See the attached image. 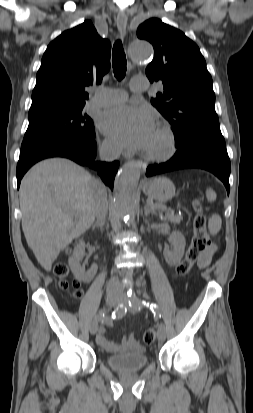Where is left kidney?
<instances>
[{"instance_id":"5707ae66","label":"left kidney","mask_w":253,"mask_h":413,"mask_svg":"<svg viewBox=\"0 0 253 413\" xmlns=\"http://www.w3.org/2000/svg\"><path fill=\"white\" fill-rule=\"evenodd\" d=\"M169 243L171 245V249L169 246L164 248V257L166 262L169 265H176L178 264L185 251V238L179 231H173L169 237Z\"/></svg>"}]
</instances>
